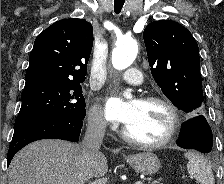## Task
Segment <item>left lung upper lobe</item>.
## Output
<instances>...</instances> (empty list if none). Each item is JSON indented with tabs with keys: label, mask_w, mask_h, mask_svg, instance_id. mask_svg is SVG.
<instances>
[{
	"label": "left lung upper lobe",
	"mask_w": 224,
	"mask_h": 184,
	"mask_svg": "<svg viewBox=\"0 0 224 184\" xmlns=\"http://www.w3.org/2000/svg\"><path fill=\"white\" fill-rule=\"evenodd\" d=\"M151 73L165 96L195 116L202 111L203 91L197 42L181 24L154 21L143 33Z\"/></svg>",
	"instance_id": "left-lung-upper-lobe-1"
}]
</instances>
